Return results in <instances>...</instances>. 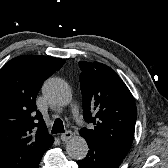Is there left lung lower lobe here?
<instances>
[{"label":"left lung lower lobe","mask_w":168,"mask_h":168,"mask_svg":"<svg viewBox=\"0 0 168 168\" xmlns=\"http://www.w3.org/2000/svg\"><path fill=\"white\" fill-rule=\"evenodd\" d=\"M89 151L77 163L80 168H118L125 155L112 150L96 141L86 139Z\"/></svg>","instance_id":"1"}]
</instances>
